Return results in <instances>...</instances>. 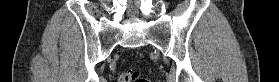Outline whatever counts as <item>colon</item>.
I'll return each mask as SVG.
<instances>
[{
  "mask_svg": "<svg viewBox=\"0 0 279 82\" xmlns=\"http://www.w3.org/2000/svg\"><path fill=\"white\" fill-rule=\"evenodd\" d=\"M118 82H146L137 72H124L118 77Z\"/></svg>",
  "mask_w": 279,
  "mask_h": 82,
  "instance_id": "colon-1",
  "label": "colon"
}]
</instances>
